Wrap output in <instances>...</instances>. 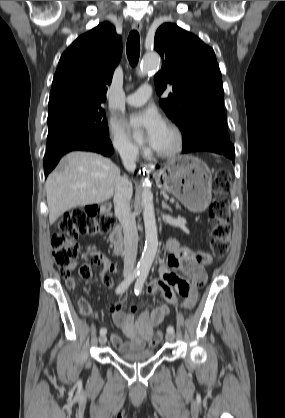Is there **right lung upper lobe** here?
<instances>
[{"instance_id": "1", "label": "right lung upper lobe", "mask_w": 285, "mask_h": 418, "mask_svg": "<svg viewBox=\"0 0 285 418\" xmlns=\"http://www.w3.org/2000/svg\"><path fill=\"white\" fill-rule=\"evenodd\" d=\"M122 53L121 37L108 22L79 36L62 54L49 104L59 101L104 102L107 84Z\"/></svg>"}]
</instances>
